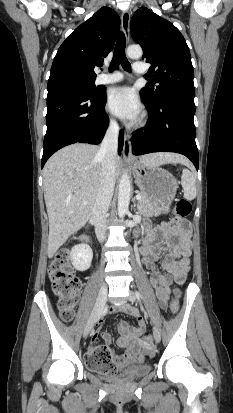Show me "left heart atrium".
<instances>
[{
	"label": "left heart atrium",
	"mask_w": 233,
	"mask_h": 413,
	"mask_svg": "<svg viewBox=\"0 0 233 413\" xmlns=\"http://www.w3.org/2000/svg\"><path fill=\"white\" fill-rule=\"evenodd\" d=\"M108 107L115 115L127 121H135L142 111L136 92L129 87L113 89L108 96Z\"/></svg>",
	"instance_id": "1"
}]
</instances>
